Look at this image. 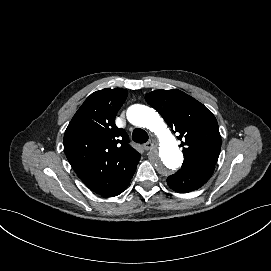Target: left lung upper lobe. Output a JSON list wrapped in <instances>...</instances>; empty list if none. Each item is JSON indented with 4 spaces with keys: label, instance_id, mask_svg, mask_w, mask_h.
<instances>
[{
    "label": "left lung upper lobe",
    "instance_id": "5c2ea615",
    "mask_svg": "<svg viewBox=\"0 0 271 271\" xmlns=\"http://www.w3.org/2000/svg\"><path fill=\"white\" fill-rule=\"evenodd\" d=\"M146 101L156 109L182 140L184 162L181 169H214L221 149V136L215 116L203 104L177 90H155Z\"/></svg>",
    "mask_w": 271,
    "mask_h": 271
}]
</instances>
